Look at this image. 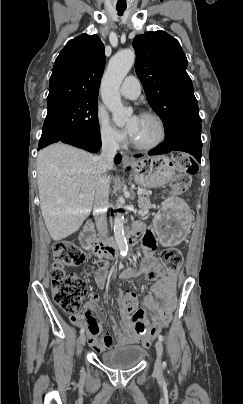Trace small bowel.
I'll list each match as a JSON object with an SVG mask.
<instances>
[{"mask_svg":"<svg viewBox=\"0 0 243 404\" xmlns=\"http://www.w3.org/2000/svg\"><path fill=\"white\" fill-rule=\"evenodd\" d=\"M138 230L142 235V250L144 254L143 267L154 268L160 271L161 267L154 256L156 249V238L151 230ZM107 271L99 269L95 273V282L98 287L103 288L106 283ZM176 283L175 276H163L153 287L152 293L144 300L145 307L152 311L148 317L145 309L137 308L134 313L123 318V329L116 324L112 326V334L116 339L115 347L132 345L138 342H150L171 319V313L176 304ZM162 300V303L159 302ZM98 295H92L83 312L70 316V321L79 327H85L88 334L89 344L96 352H105L114 347L113 337L105 335L99 338L100 324L92 315L98 310Z\"/></svg>","mask_w":243,"mask_h":404,"instance_id":"1","label":"small bowel"}]
</instances>
